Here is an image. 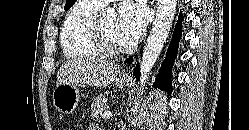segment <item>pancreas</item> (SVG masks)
I'll return each instance as SVG.
<instances>
[{"label":"pancreas","mask_w":249,"mask_h":130,"mask_svg":"<svg viewBox=\"0 0 249 130\" xmlns=\"http://www.w3.org/2000/svg\"><path fill=\"white\" fill-rule=\"evenodd\" d=\"M108 108L109 106L105 102V97L103 95L97 96L91 104L92 117L96 119L100 118Z\"/></svg>","instance_id":"1"}]
</instances>
